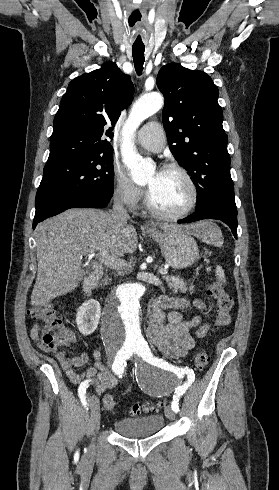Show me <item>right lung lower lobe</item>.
<instances>
[{
	"instance_id": "98d812e1",
	"label": "right lung lower lobe",
	"mask_w": 279,
	"mask_h": 490,
	"mask_svg": "<svg viewBox=\"0 0 279 490\" xmlns=\"http://www.w3.org/2000/svg\"><path fill=\"white\" fill-rule=\"evenodd\" d=\"M110 200L111 198L98 197L88 193L52 194L45 196L36 203L33 229H35L39 222L57 215L66 209L76 207L103 208Z\"/></svg>"
}]
</instances>
